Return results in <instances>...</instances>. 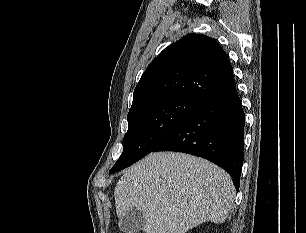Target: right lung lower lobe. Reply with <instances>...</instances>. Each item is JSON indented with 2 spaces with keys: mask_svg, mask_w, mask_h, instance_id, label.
I'll return each mask as SVG.
<instances>
[{
  "mask_svg": "<svg viewBox=\"0 0 306 233\" xmlns=\"http://www.w3.org/2000/svg\"><path fill=\"white\" fill-rule=\"evenodd\" d=\"M245 114L236 87L201 105L153 151L203 157L225 169L240 185Z\"/></svg>",
  "mask_w": 306,
  "mask_h": 233,
  "instance_id": "obj_1",
  "label": "right lung lower lobe"
}]
</instances>
